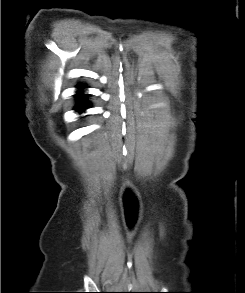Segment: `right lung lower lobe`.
Listing matches in <instances>:
<instances>
[{
	"instance_id": "right-lung-lower-lobe-1",
	"label": "right lung lower lobe",
	"mask_w": 245,
	"mask_h": 293,
	"mask_svg": "<svg viewBox=\"0 0 245 293\" xmlns=\"http://www.w3.org/2000/svg\"><path fill=\"white\" fill-rule=\"evenodd\" d=\"M84 87V86H79ZM77 106L75 107V110L82 111L88 108V101L86 100V96L82 93L77 94Z\"/></svg>"
}]
</instances>
